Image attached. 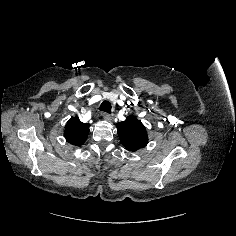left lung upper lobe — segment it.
Listing matches in <instances>:
<instances>
[{
  "instance_id": "obj_1",
  "label": "left lung upper lobe",
  "mask_w": 236,
  "mask_h": 236,
  "mask_svg": "<svg viewBox=\"0 0 236 236\" xmlns=\"http://www.w3.org/2000/svg\"><path fill=\"white\" fill-rule=\"evenodd\" d=\"M117 132L122 145L129 151L135 152L148 144L146 128L135 116L117 123Z\"/></svg>"
}]
</instances>
